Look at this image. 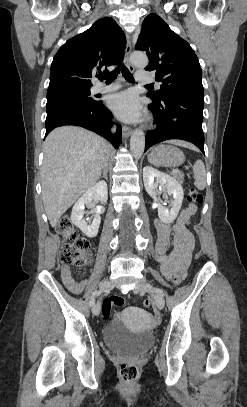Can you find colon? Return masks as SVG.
<instances>
[{
	"label": "colon",
	"mask_w": 247,
	"mask_h": 407,
	"mask_svg": "<svg viewBox=\"0 0 247 407\" xmlns=\"http://www.w3.org/2000/svg\"><path fill=\"white\" fill-rule=\"evenodd\" d=\"M187 199L193 207L198 208L203 202V195L195 188H191ZM56 231L63 240V245L60 251V262L63 265L81 267L86 266L91 262L89 243L77 233L69 218L63 217L60 219L56 226ZM172 283L174 285H179L181 283L180 276H174L172 278ZM125 301V297L121 295L107 297L103 301V317L106 319L110 318L112 308L123 306ZM143 305L145 307H150L151 302L146 300ZM120 375L125 382H134L139 376V369L135 364L122 363L120 366Z\"/></svg>",
	"instance_id": "5ec220e1"
}]
</instances>
